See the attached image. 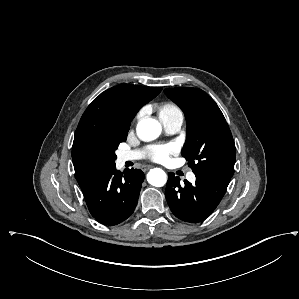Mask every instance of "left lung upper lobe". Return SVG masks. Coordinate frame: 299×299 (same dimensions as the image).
I'll return each mask as SVG.
<instances>
[{"label":"left lung upper lobe","instance_id":"left-lung-upper-lobe-1","mask_svg":"<svg viewBox=\"0 0 299 299\" xmlns=\"http://www.w3.org/2000/svg\"><path fill=\"white\" fill-rule=\"evenodd\" d=\"M164 92L185 113L187 139L182 155L194 174L210 176L228 186L234 173L235 144L215 101L198 88H166Z\"/></svg>","mask_w":299,"mask_h":299}]
</instances>
